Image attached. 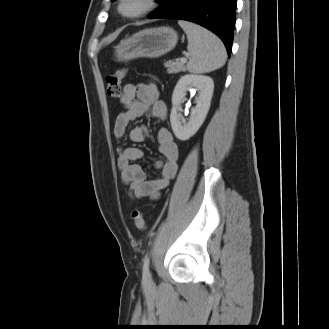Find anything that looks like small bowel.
I'll return each instance as SVG.
<instances>
[{
    "label": "small bowel",
    "instance_id": "c3829d8e",
    "mask_svg": "<svg viewBox=\"0 0 329 329\" xmlns=\"http://www.w3.org/2000/svg\"><path fill=\"white\" fill-rule=\"evenodd\" d=\"M159 95V87L155 82L126 84L120 97L124 110L117 116L113 127L115 139L121 140L127 133L131 142H143L148 136L147 127L138 125L127 130L128 125L146 114L158 120H165L167 107L159 99ZM157 139L162 159L156 162L159 174L155 179H148L143 166L136 162L143 158L141 149L127 146L117 148V167L121 172L122 182L129 187V195L132 198L156 199L176 175L179 149L171 131L165 127L160 128Z\"/></svg>",
    "mask_w": 329,
    "mask_h": 329
}]
</instances>
